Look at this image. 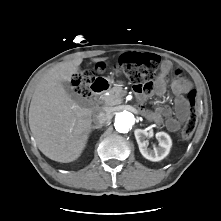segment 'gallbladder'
<instances>
[{
	"label": "gallbladder",
	"instance_id": "1",
	"mask_svg": "<svg viewBox=\"0 0 221 221\" xmlns=\"http://www.w3.org/2000/svg\"><path fill=\"white\" fill-rule=\"evenodd\" d=\"M64 90L70 95L73 96L74 95V90L73 87L71 85V83L69 81H64L62 83Z\"/></svg>",
	"mask_w": 221,
	"mask_h": 221
}]
</instances>
